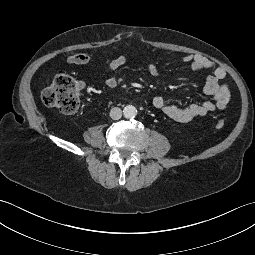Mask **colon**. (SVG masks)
<instances>
[{
  "label": "colon",
  "mask_w": 255,
  "mask_h": 255,
  "mask_svg": "<svg viewBox=\"0 0 255 255\" xmlns=\"http://www.w3.org/2000/svg\"><path fill=\"white\" fill-rule=\"evenodd\" d=\"M78 87V81L70 74L65 71H57L51 83L42 89L41 100L46 106L55 108L63 114H75L81 107ZM216 127L222 129L224 122L218 120Z\"/></svg>",
  "instance_id": "colon-1"
}]
</instances>
